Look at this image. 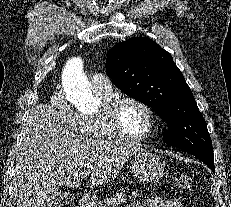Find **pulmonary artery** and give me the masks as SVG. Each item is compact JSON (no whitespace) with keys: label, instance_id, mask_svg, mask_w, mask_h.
<instances>
[{"label":"pulmonary artery","instance_id":"e3ab8cb5","mask_svg":"<svg viewBox=\"0 0 231 207\" xmlns=\"http://www.w3.org/2000/svg\"><path fill=\"white\" fill-rule=\"evenodd\" d=\"M90 85L93 90L102 92H111L112 88L110 79L104 73H94L90 77Z\"/></svg>","mask_w":231,"mask_h":207}]
</instances>
